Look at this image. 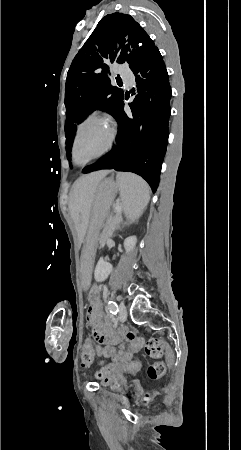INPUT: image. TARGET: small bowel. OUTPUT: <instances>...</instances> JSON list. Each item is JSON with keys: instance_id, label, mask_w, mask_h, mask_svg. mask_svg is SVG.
<instances>
[{"instance_id": "1", "label": "small bowel", "mask_w": 241, "mask_h": 450, "mask_svg": "<svg viewBox=\"0 0 241 450\" xmlns=\"http://www.w3.org/2000/svg\"><path fill=\"white\" fill-rule=\"evenodd\" d=\"M89 310L87 311L88 323L91 325V335L100 336L102 341L94 344V357L96 355H105L113 360L107 369H100L95 374V379L103 385L109 386L113 390H121L126 385L125 375L127 370L125 364L134 360L137 354L144 346V338L138 336L132 330H119L109 332L104 330L102 325L103 318L98 316L100 311V299L89 298L87 301Z\"/></svg>"}]
</instances>
